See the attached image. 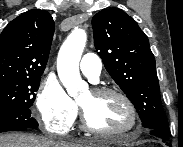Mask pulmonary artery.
I'll use <instances>...</instances> for the list:
<instances>
[{"mask_svg":"<svg viewBox=\"0 0 183 147\" xmlns=\"http://www.w3.org/2000/svg\"><path fill=\"white\" fill-rule=\"evenodd\" d=\"M102 63L94 53H86L80 61L81 72L92 82H97L101 73Z\"/></svg>","mask_w":183,"mask_h":147,"instance_id":"obj_1","label":"pulmonary artery"}]
</instances>
